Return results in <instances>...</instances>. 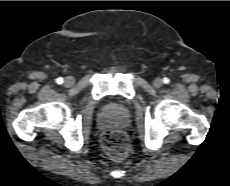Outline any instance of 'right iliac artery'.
Here are the masks:
<instances>
[{"mask_svg":"<svg viewBox=\"0 0 230 186\" xmlns=\"http://www.w3.org/2000/svg\"><path fill=\"white\" fill-rule=\"evenodd\" d=\"M56 82H57L58 84L63 83V78H58V79L56 80Z\"/></svg>","mask_w":230,"mask_h":186,"instance_id":"82829eb1","label":"right iliac artery"}]
</instances>
